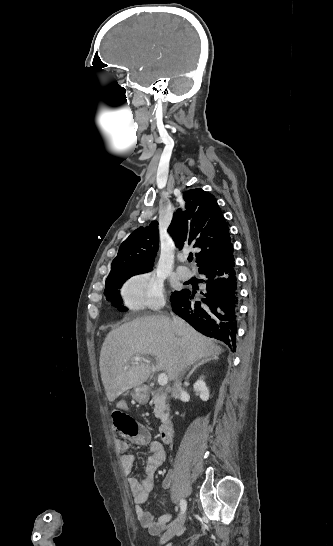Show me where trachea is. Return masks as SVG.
I'll return each instance as SVG.
<instances>
[{
	"instance_id": "trachea-1",
	"label": "trachea",
	"mask_w": 333,
	"mask_h": 546,
	"mask_svg": "<svg viewBox=\"0 0 333 546\" xmlns=\"http://www.w3.org/2000/svg\"><path fill=\"white\" fill-rule=\"evenodd\" d=\"M192 260H193V256L190 255V256L188 257V261L191 262Z\"/></svg>"
}]
</instances>
